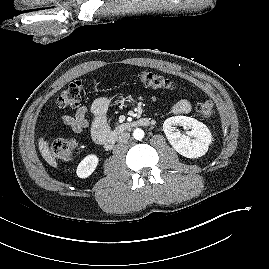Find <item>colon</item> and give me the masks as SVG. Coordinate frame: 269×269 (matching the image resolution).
<instances>
[{"mask_svg":"<svg viewBox=\"0 0 269 269\" xmlns=\"http://www.w3.org/2000/svg\"><path fill=\"white\" fill-rule=\"evenodd\" d=\"M139 80L147 87L153 89H173L174 83L154 72L144 71L139 74ZM84 82L75 80L68 84L60 93L57 104L61 108H74L80 103L84 90ZM201 117L209 118L213 114V104L210 101H204L196 108ZM52 154L62 161L71 160L78 148V143L73 138L58 137L48 141Z\"/></svg>","mask_w":269,"mask_h":269,"instance_id":"colon-1","label":"colon"}]
</instances>
